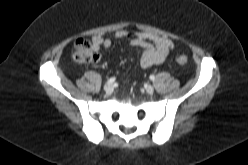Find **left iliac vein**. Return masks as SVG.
I'll use <instances>...</instances> for the list:
<instances>
[{
	"label": "left iliac vein",
	"instance_id": "4c4485c4",
	"mask_svg": "<svg viewBox=\"0 0 248 165\" xmlns=\"http://www.w3.org/2000/svg\"><path fill=\"white\" fill-rule=\"evenodd\" d=\"M145 90L148 94H152L154 92V87L151 85H146Z\"/></svg>",
	"mask_w": 248,
	"mask_h": 165
}]
</instances>
